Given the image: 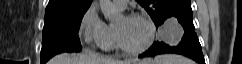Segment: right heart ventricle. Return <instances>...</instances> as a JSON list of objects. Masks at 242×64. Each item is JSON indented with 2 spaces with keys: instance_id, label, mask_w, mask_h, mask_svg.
<instances>
[{
  "instance_id": "right-heart-ventricle-1",
  "label": "right heart ventricle",
  "mask_w": 242,
  "mask_h": 64,
  "mask_svg": "<svg viewBox=\"0 0 242 64\" xmlns=\"http://www.w3.org/2000/svg\"><path fill=\"white\" fill-rule=\"evenodd\" d=\"M108 27L111 30L113 36H112V39H111L110 42L101 45L102 48H110V47L114 46L115 43H116V30H115V25L111 24Z\"/></svg>"
}]
</instances>
